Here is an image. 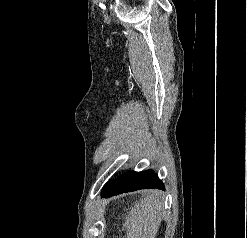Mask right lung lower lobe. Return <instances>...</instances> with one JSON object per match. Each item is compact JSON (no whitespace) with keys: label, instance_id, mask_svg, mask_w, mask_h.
I'll list each match as a JSON object with an SVG mask.
<instances>
[{"label":"right lung lower lobe","instance_id":"98d812e1","mask_svg":"<svg viewBox=\"0 0 247 238\" xmlns=\"http://www.w3.org/2000/svg\"><path fill=\"white\" fill-rule=\"evenodd\" d=\"M149 188L163 189L164 184L152 170L132 171L111 180L102 191V197L109 198L120 193Z\"/></svg>","mask_w":247,"mask_h":238}]
</instances>
